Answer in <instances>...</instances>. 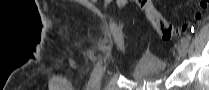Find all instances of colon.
Returning a JSON list of instances; mask_svg holds the SVG:
<instances>
[{"instance_id": "obj_1", "label": "colon", "mask_w": 209, "mask_h": 90, "mask_svg": "<svg viewBox=\"0 0 209 90\" xmlns=\"http://www.w3.org/2000/svg\"><path fill=\"white\" fill-rule=\"evenodd\" d=\"M124 2L125 0L118 1L119 4H123ZM136 2L165 41L178 40L182 34L186 33L189 29L193 28L195 24L200 23L203 20L204 14L209 8V0H201L199 2V8L194 13L191 20L185 22L181 26H175L163 18L151 0H137Z\"/></svg>"}]
</instances>
